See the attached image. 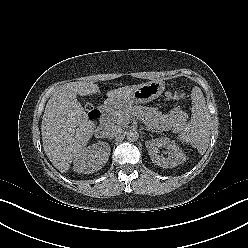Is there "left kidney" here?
I'll list each match as a JSON object with an SVG mask.
<instances>
[{"mask_svg": "<svg viewBox=\"0 0 248 248\" xmlns=\"http://www.w3.org/2000/svg\"><path fill=\"white\" fill-rule=\"evenodd\" d=\"M149 156L153 163L162 168H173L183 163L186 160L184 152L176 145L175 142L168 138H156L148 140L145 143ZM166 148L168 150V157L160 155V149Z\"/></svg>", "mask_w": 248, "mask_h": 248, "instance_id": "5707ae66", "label": "left kidney"}]
</instances>
